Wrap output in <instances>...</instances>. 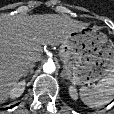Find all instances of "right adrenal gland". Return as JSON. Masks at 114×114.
Listing matches in <instances>:
<instances>
[{"instance_id":"2a0ac1e0","label":"right adrenal gland","mask_w":114,"mask_h":114,"mask_svg":"<svg viewBox=\"0 0 114 114\" xmlns=\"http://www.w3.org/2000/svg\"><path fill=\"white\" fill-rule=\"evenodd\" d=\"M33 67L34 65H32V67L29 69V71L25 74V76H27L28 74L29 75H32L33 74Z\"/></svg>"}]
</instances>
